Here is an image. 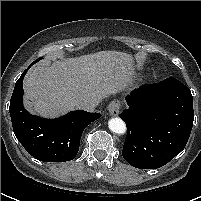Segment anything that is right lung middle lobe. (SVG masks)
I'll return each mask as SVG.
<instances>
[{
  "label": "right lung middle lobe",
  "mask_w": 201,
  "mask_h": 201,
  "mask_svg": "<svg viewBox=\"0 0 201 201\" xmlns=\"http://www.w3.org/2000/svg\"><path fill=\"white\" fill-rule=\"evenodd\" d=\"M40 59H42V57L38 58L37 60L34 61V63H36L37 61H39Z\"/></svg>",
  "instance_id": "1"
}]
</instances>
